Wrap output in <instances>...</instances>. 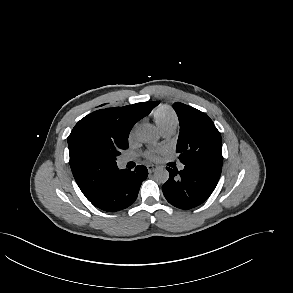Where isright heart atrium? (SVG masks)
Segmentation results:
<instances>
[{"instance_id":"right-heart-atrium-1","label":"right heart atrium","mask_w":293,"mask_h":293,"mask_svg":"<svg viewBox=\"0 0 293 293\" xmlns=\"http://www.w3.org/2000/svg\"><path fill=\"white\" fill-rule=\"evenodd\" d=\"M133 133H134V131L132 130V131L130 132V137H132V136H133Z\"/></svg>"}]
</instances>
